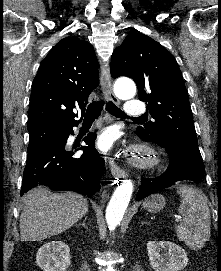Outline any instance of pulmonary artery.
Instances as JSON below:
<instances>
[{
	"label": "pulmonary artery",
	"instance_id": "obj_1",
	"mask_svg": "<svg viewBox=\"0 0 221 271\" xmlns=\"http://www.w3.org/2000/svg\"><path fill=\"white\" fill-rule=\"evenodd\" d=\"M129 107H126L125 117H136V112L146 111V102H129Z\"/></svg>",
	"mask_w": 221,
	"mask_h": 271
}]
</instances>
